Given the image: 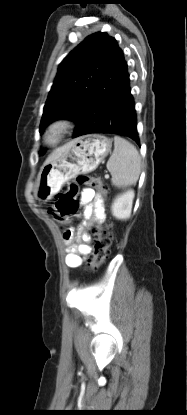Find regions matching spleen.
<instances>
[{
    "label": "spleen",
    "mask_w": 187,
    "mask_h": 415,
    "mask_svg": "<svg viewBox=\"0 0 187 415\" xmlns=\"http://www.w3.org/2000/svg\"><path fill=\"white\" fill-rule=\"evenodd\" d=\"M111 182L117 188L134 185L141 172V157L136 147L126 139L114 137V151L107 162Z\"/></svg>",
    "instance_id": "1"
}]
</instances>
